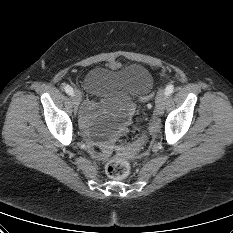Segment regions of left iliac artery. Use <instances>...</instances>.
<instances>
[{
	"label": "left iliac artery",
	"mask_w": 233,
	"mask_h": 233,
	"mask_svg": "<svg viewBox=\"0 0 233 233\" xmlns=\"http://www.w3.org/2000/svg\"><path fill=\"white\" fill-rule=\"evenodd\" d=\"M173 91H174V85L170 84L166 87L165 94L168 96V95L172 94Z\"/></svg>",
	"instance_id": "left-iliac-artery-1"
}]
</instances>
